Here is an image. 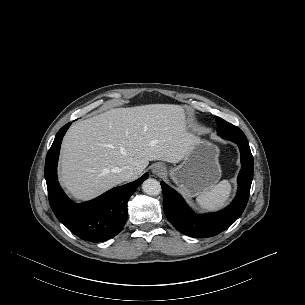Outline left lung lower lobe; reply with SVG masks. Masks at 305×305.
<instances>
[{"label": "left lung lower lobe", "instance_id": "0a47b994", "mask_svg": "<svg viewBox=\"0 0 305 305\" xmlns=\"http://www.w3.org/2000/svg\"><path fill=\"white\" fill-rule=\"evenodd\" d=\"M225 139L238 145L242 164L238 192L228 208L217 213L194 214L176 191L161 182L166 217L178 231L190 237L206 238L221 233L239 218L246 207L253 178V156L247 140Z\"/></svg>", "mask_w": 305, "mask_h": 305}]
</instances>
